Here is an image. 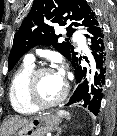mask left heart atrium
<instances>
[{
    "instance_id": "39dd6f15",
    "label": "left heart atrium",
    "mask_w": 117,
    "mask_h": 136,
    "mask_svg": "<svg viewBox=\"0 0 117 136\" xmlns=\"http://www.w3.org/2000/svg\"><path fill=\"white\" fill-rule=\"evenodd\" d=\"M57 74L59 75V76H63V72L62 71H59V72H57Z\"/></svg>"
}]
</instances>
